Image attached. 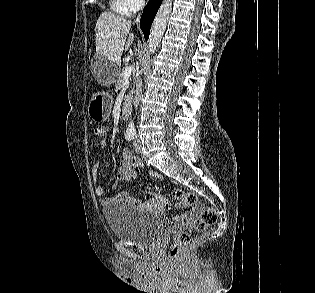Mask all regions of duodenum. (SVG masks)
<instances>
[{"instance_id": "obj_1", "label": "duodenum", "mask_w": 315, "mask_h": 293, "mask_svg": "<svg viewBox=\"0 0 315 293\" xmlns=\"http://www.w3.org/2000/svg\"><path fill=\"white\" fill-rule=\"evenodd\" d=\"M131 105L128 101H125L121 107V116L124 120H127L130 116Z\"/></svg>"}]
</instances>
